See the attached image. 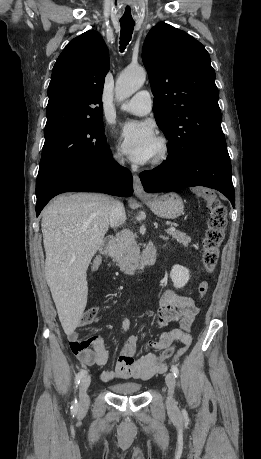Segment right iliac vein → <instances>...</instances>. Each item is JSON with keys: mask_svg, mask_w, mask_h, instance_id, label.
Listing matches in <instances>:
<instances>
[{"mask_svg": "<svg viewBox=\"0 0 261 459\" xmlns=\"http://www.w3.org/2000/svg\"><path fill=\"white\" fill-rule=\"evenodd\" d=\"M91 383V376L85 375L79 385V406L81 409H86L89 405V396L87 389Z\"/></svg>", "mask_w": 261, "mask_h": 459, "instance_id": "right-iliac-vein-1", "label": "right iliac vein"}]
</instances>
